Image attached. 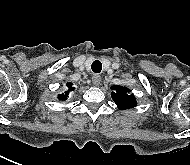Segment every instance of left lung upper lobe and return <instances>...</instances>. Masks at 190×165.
Segmentation results:
<instances>
[{"mask_svg":"<svg viewBox=\"0 0 190 165\" xmlns=\"http://www.w3.org/2000/svg\"><path fill=\"white\" fill-rule=\"evenodd\" d=\"M113 92H111L112 99L117 104L118 108L129 109L137 105V101L133 95H130V90L122 86H112Z\"/></svg>","mask_w":190,"mask_h":165,"instance_id":"1","label":"left lung upper lobe"}]
</instances>
